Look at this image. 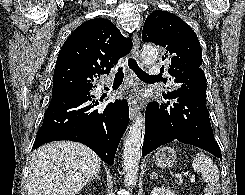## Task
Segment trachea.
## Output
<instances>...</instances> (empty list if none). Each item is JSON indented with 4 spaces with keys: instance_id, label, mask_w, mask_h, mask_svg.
Listing matches in <instances>:
<instances>
[{
    "instance_id": "1",
    "label": "trachea",
    "mask_w": 245,
    "mask_h": 195,
    "mask_svg": "<svg viewBox=\"0 0 245 195\" xmlns=\"http://www.w3.org/2000/svg\"><path fill=\"white\" fill-rule=\"evenodd\" d=\"M128 66L135 72V74L142 80L149 78H156L159 75H149L143 71L133 58L128 59ZM124 78L123 68L119 67L117 73L115 74L114 81H122Z\"/></svg>"
}]
</instances>
